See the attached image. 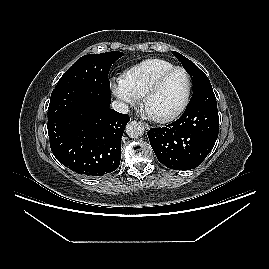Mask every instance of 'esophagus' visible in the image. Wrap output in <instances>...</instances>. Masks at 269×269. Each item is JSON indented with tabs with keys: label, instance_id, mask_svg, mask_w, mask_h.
I'll list each match as a JSON object with an SVG mask.
<instances>
[{
	"label": "esophagus",
	"instance_id": "obj_1",
	"mask_svg": "<svg viewBox=\"0 0 269 269\" xmlns=\"http://www.w3.org/2000/svg\"><path fill=\"white\" fill-rule=\"evenodd\" d=\"M142 124H143V126L145 127V129H150V126L147 124V123H145V122H142Z\"/></svg>",
	"mask_w": 269,
	"mask_h": 269
}]
</instances>
